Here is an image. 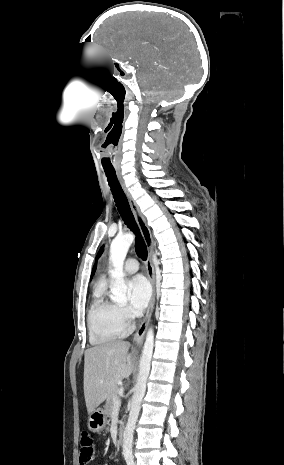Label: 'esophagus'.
<instances>
[{
	"instance_id": "1",
	"label": "esophagus",
	"mask_w": 284,
	"mask_h": 465,
	"mask_svg": "<svg viewBox=\"0 0 284 465\" xmlns=\"http://www.w3.org/2000/svg\"><path fill=\"white\" fill-rule=\"evenodd\" d=\"M122 188L124 190V193H125L127 199L129 200L130 206H131V208L133 210V213L135 215L136 222L138 224L140 232H141V234H142V236H143V238L145 240V243H146V247H147V250H148V257H147V261H146V270H147V277L150 280L151 285H152V298H151L149 306L147 308L145 318L143 319V321L139 325V327L136 330V332L134 334V337H133V342H134L135 346L140 347L143 344L144 336H145V333L147 331V328H148V325H149V322H150V319H151V315H152L153 308H154V300H155V272H154V265H153V261H152L153 240H152V235H151L150 228L148 227L146 219H145L144 215L141 213V210L138 207L136 201L134 200V198L132 197L130 192H128L127 188L124 186L123 183H122Z\"/></svg>"
}]
</instances>
